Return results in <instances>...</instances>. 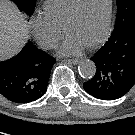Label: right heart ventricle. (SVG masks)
<instances>
[{
  "mask_svg": "<svg viewBox=\"0 0 135 135\" xmlns=\"http://www.w3.org/2000/svg\"><path fill=\"white\" fill-rule=\"evenodd\" d=\"M76 2L77 0H47L44 5V13L58 27L63 28Z\"/></svg>",
  "mask_w": 135,
  "mask_h": 135,
  "instance_id": "obj_1",
  "label": "right heart ventricle"
}]
</instances>
